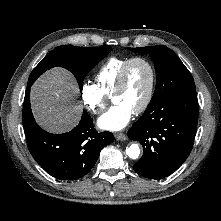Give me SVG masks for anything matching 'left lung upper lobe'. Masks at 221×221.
Here are the masks:
<instances>
[{"instance_id": "obj_1", "label": "left lung upper lobe", "mask_w": 221, "mask_h": 221, "mask_svg": "<svg viewBox=\"0 0 221 221\" xmlns=\"http://www.w3.org/2000/svg\"><path fill=\"white\" fill-rule=\"evenodd\" d=\"M129 49L133 52L149 53L154 62L156 88L149 105L163 101L181 92L195 90V83L190 72L178 56L168 47L148 46Z\"/></svg>"}]
</instances>
